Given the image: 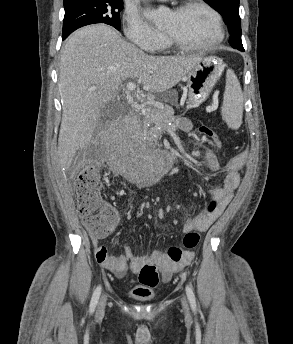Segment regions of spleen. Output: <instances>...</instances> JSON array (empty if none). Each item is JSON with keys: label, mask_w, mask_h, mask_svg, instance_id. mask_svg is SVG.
<instances>
[{"label": "spleen", "mask_w": 293, "mask_h": 344, "mask_svg": "<svg viewBox=\"0 0 293 344\" xmlns=\"http://www.w3.org/2000/svg\"><path fill=\"white\" fill-rule=\"evenodd\" d=\"M223 120L232 129H238L243 117V94L240 83L232 70L227 71L226 86L221 107Z\"/></svg>", "instance_id": "obj_1"}]
</instances>
